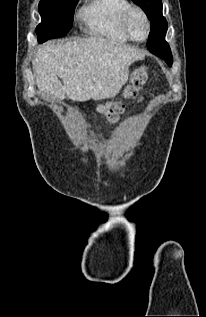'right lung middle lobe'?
I'll return each mask as SVG.
<instances>
[{"instance_id": "right-lung-middle-lobe-1", "label": "right lung middle lobe", "mask_w": 206, "mask_h": 317, "mask_svg": "<svg viewBox=\"0 0 206 317\" xmlns=\"http://www.w3.org/2000/svg\"><path fill=\"white\" fill-rule=\"evenodd\" d=\"M78 0H42L39 3L41 23L36 28L40 43L65 36L72 27Z\"/></svg>"}]
</instances>
